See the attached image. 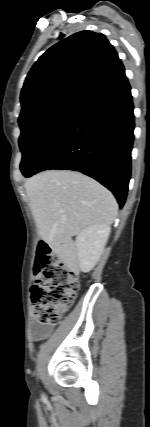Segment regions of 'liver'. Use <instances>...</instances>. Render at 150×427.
Segmentation results:
<instances>
[{
  "label": "liver",
  "instance_id": "liver-1",
  "mask_svg": "<svg viewBox=\"0 0 150 427\" xmlns=\"http://www.w3.org/2000/svg\"><path fill=\"white\" fill-rule=\"evenodd\" d=\"M39 236L65 261H72V236L88 226H110L118 204L104 186L79 172L47 170L25 182Z\"/></svg>",
  "mask_w": 150,
  "mask_h": 427
}]
</instances>
